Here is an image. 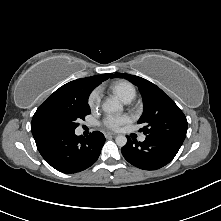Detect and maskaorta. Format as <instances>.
Returning <instances> with one entry per match:
<instances>
[{"instance_id": "762f6f07", "label": "aorta", "mask_w": 221, "mask_h": 221, "mask_svg": "<svg viewBox=\"0 0 221 221\" xmlns=\"http://www.w3.org/2000/svg\"><path fill=\"white\" fill-rule=\"evenodd\" d=\"M102 109L104 112L111 114L115 112H121L123 110V106L117 99L109 98L103 103ZM115 142L118 146L123 147L127 143V138L124 135H118L115 138Z\"/></svg>"}]
</instances>
